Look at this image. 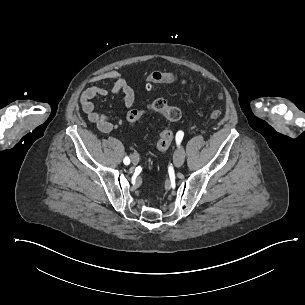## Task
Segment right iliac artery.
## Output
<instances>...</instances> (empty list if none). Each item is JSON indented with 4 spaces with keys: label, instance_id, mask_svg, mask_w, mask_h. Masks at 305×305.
<instances>
[{
    "label": "right iliac artery",
    "instance_id": "obj_1",
    "mask_svg": "<svg viewBox=\"0 0 305 305\" xmlns=\"http://www.w3.org/2000/svg\"><path fill=\"white\" fill-rule=\"evenodd\" d=\"M123 162L124 164L128 165L130 163L129 157H125Z\"/></svg>",
    "mask_w": 305,
    "mask_h": 305
}]
</instances>
